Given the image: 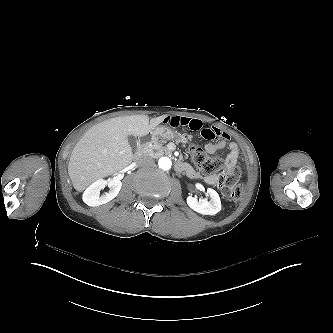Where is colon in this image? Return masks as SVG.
Returning <instances> with one entry per match:
<instances>
[{
    "instance_id": "5ec220e1",
    "label": "colon",
    "mask_w": 333,
    "mask_h": 333,
    "mask_svg": "<svg viewBox=\"0 0 333 333\" xmlns=\"http://www.w3.org/2000/svg\"><path fill=\"white\" fill-rule=\"evenodd\" d=\"M190 153L194 164L204 175L214 176L219 173L216 181L225 198L241 199L244 187L239 183L241 170L238 164H225L223 159L208 155L197 145L190 146Z\"/></svg>"
}]
</instances>
